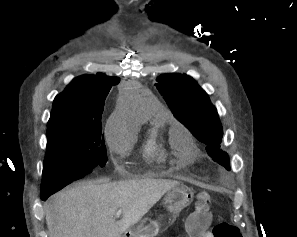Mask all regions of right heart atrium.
Listing matches in <instances>:
<instances>
[{
  "label": "right heart atrium",
  "mask_w": 297,
  "mask_h": 237,
  "mask_svg": "<svg viewBox=\"0 0 297 237\" xmlns=\"http://www.w3.org/2000/svg\"><path fill=\"white\" fill-rule=\"evenodd\" d=\"M113 122H108L106 127H105V132H106V135H107V138H108V141L112 144L114 142V137H115V134L114 132L112 131L113 129Z\"/></svg>",
  "instance_id": "right-heart-atrium-1"
}]
</instances>
